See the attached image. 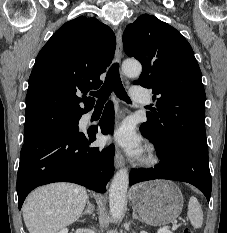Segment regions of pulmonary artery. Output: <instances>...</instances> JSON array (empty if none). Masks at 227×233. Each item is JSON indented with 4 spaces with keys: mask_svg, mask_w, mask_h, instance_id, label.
<instances>
[{
    "mask_svg": "<svg viewBox=\"0 0 227 233\" xmlns=\"http://www.w3.org/2000/svg\"><path fill=\"white\" fill-rule=\"evenodd\" d=\"M130 95H131V98L137 102L143 103L146 101L144 95L138 89H131Z\"/></svg>",
    "mask_w": 227,
    "mask_h": 233,
    "instance_id": "e3ab8cb5",
    "label": "pulmonary artery"
}]
</instances>
